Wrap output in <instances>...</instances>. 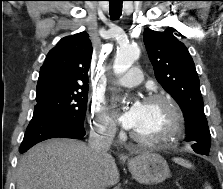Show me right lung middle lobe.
Returning <instances> with one entry per match:
<instances>
[{"mask_svg": "<svg viewBox=\"0 0 223 189\" xmlns=\"http://www.w3.org/2000/svg\"><path fill=\"white\" fill-rule=\"evenodd\" d=\"M88 88L37 92L35 112L58 115L83 125L87 108Z\"/></svg>", "mask_w": 223, "mask_h": 189, "instance_id": "right-lung-middle-lobe-1", "label": "right lung middle lobe"}]
</instances>
